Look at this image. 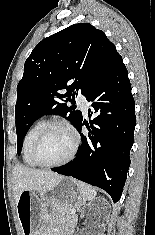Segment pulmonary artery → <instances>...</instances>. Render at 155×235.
<instances>
[{
	"label": "pulmonary artery",
	"instance_id": "pulmonary-artery-1",
	"mask_svg": "<svg viewBox=\"0 0 155 235\" xmlns=\"http://www.w3.org/2000/svg\"><path fill=\"white\" fill-rule=\"evenodd\" d=\"M77 102L80 105V107L82 108V110L84 111V113H87V111H88V102H87L86 98L83 95L79 94L77 96Z\"/></svg>",
	"mask_w": 155,
	"mask_h": 235
}]
</instances>
